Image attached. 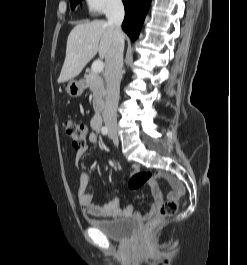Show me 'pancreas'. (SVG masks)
Listing matches in <instances>:
<instances>
[{
	"instance_id": "obj_1",
	"label": "pancreas",
	"mask_w": 247,
	"mask_h": 265,
	"mask_svg": "<svg viewBox=\"0 0 247 265\" xmlns=\"http://www.w3.org/2000/svg\"><path fill=\"white\" fill-rule=\"evenodd\" d=\"M88 86L93 93V108L95 113H100L104 105V98L107 94L104 80L97 73L90 72L88 75Z\"/></svg>"
}]
</instances>
